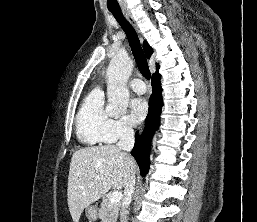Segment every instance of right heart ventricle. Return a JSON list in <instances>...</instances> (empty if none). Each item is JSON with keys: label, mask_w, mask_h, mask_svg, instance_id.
Wrapping results in <instances>:
<instances>
[{"label": "right heart ventricle", "mask_w": 257, "mask_h": 222, "mask_svg": "<svg viewBox=\"0 0 257 222\" xmlns=\"http://www.w3.org/2000/svg\"><path fill=\"white\" fill-rule=\"evenodd\" d=\"M109 121L110 116L104 108L103 92L95 89L84 99L76 117L79 141L87 146L108 143L105 129Z\"/></svg>", "instance_id": "obj_1"}]
</instances>
